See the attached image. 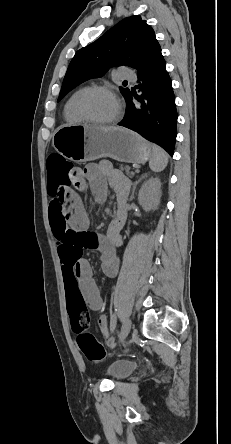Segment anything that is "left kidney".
I'll return each mask as SVG.
<instances>
[{
  "label": "left kidney",
  "instance_id": "5707ae66",
  "mask_svg": "<svg viewBox=\"0 0 231 444\" xmlns=\"http://www.w3.org/2000/svg\"><path fill=\"white\" fill-rule=\"evenodd\" d=\"M161 182L159 178L147 180L139 190L138 201L145 211L156 209L161 198Z\"/></svg>",
  "mask_w": 231,
  "mask_h": 444
}]
</instances>
